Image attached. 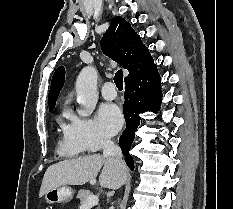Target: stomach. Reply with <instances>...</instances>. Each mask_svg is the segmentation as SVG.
I'll return each mask as SVG.
<instances>
[{"label":"stomach","mask_w":233,"mask_h":209,"mask_svg":"<svg viewBox=\"0 0 233 209\" xmlns=\"http://www.w3.org/2000/svg\"><path fill=\"white\" fill-rule=\"evenodd\" d=\"M73 190L68 186H60L47 191L44 199L49 204L67 203L73 199Z\"/></svg>","instance_id":"stomach-1"}]
</instances>
